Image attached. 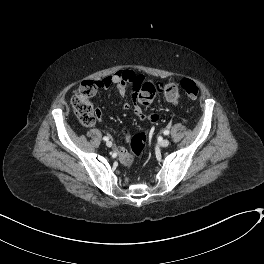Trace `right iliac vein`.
I'll list each match as a JSON object with an SVG mask.
<instances>
[{
  "instance_id": "obj_1",
  "label": "right iliac vein",
  "mask_w": 264,
  "mask_h": 264,
  "mask_svg": "<svg viewBox=\"0 0 264 264\" xmlns=\"http://www.w3.org/2000/svg\"><path fill=\"white\" fill-rule=\"evenodd\" d=\"M106 146H107V147H112V142H111V141H107V142H106Z\"/></svg>"
}]
</instances>
